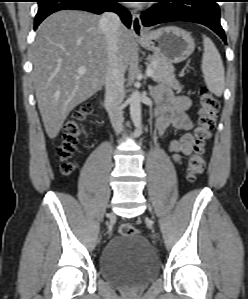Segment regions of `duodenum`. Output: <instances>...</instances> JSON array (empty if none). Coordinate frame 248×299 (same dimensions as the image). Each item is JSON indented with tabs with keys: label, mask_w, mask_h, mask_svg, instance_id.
<instances>
[{
	"label": "duodenum",
	"mask_w": 248,
	"mask_h": 299,
	"mask_svg": "<svg viewBox=\"0 0 248 299\" xmlns=\"http://www.w3.org/2000/svg\"><path fill=\"white\" fill-rule=\"evenodd\" d=\"M103 103L106 104V103H107V100H103Z\"/></svg>",
	"instance_id": "1"
}]
</instances>
